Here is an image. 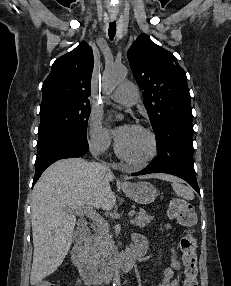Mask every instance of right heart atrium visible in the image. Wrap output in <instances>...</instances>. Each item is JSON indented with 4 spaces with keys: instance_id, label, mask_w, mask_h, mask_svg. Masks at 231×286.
Listing matches in <instances>:
<instances>
[{
    "instance_id": "1",
    "label": "right heart atrium",
    "mask_w": 231,
    "mask_h": 286,
    "mask_svg": "<svg viewBox=\"0 0 231 286\" xmlns=\"http://www.w3.org/2000/svg\"><path fill=\"white\" fill-rule=\"evenodd\" d=\"M87 142L89 148L97 154L107 152L111 146V136L107 128L103 125L98 114H92L88 123Z\"/></svg>"
}]
</instances>
